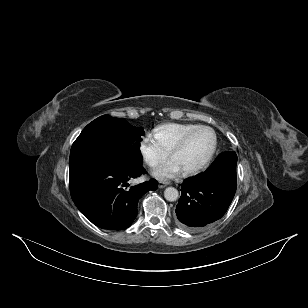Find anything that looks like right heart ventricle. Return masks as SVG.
Masks as SVG:
<instances>
[{
  "instance_id": "obj_1",
  "label": "right heart ventricle",
  "mask_w": 308,
  "mask_h": 308,
  "mask_svg": "<svg viewBox=\"0 0 308 308\" xmlns=\"http://www.w3.org/2000/svg\"><path fill=\"white\" fill-rule=\"evenodd\" d=\"M198 126L200 125L192 123H165L154 128L153 136L169 152L187 132Z\"/></svg>"
}]
</instances>
